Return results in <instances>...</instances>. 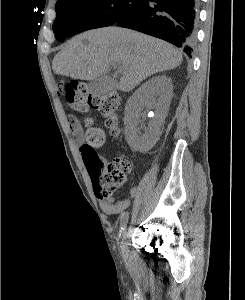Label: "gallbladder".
Segmentation results:
<instances>
[{"instance_id":"1","label":"gallbladder","mask_w":245,"mask_h":300,"mask_svg":"<svg viewBox=\"0 0 245 300\" xmlns=\"http://www.w3.org/2000/svg\"><path fill=\"white\" fill-rule=\"evenodd\" d=\"M117 81L110 76L104 74L88 83V90L96 97H101L107 94L109 91L116 89Z\"/></svg>"}]
</instances>
